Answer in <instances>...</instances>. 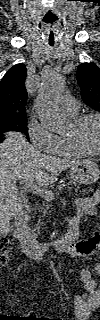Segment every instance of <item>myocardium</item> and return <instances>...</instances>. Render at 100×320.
<instances>
[{
  "label": "myocardium",
  "mask_w": 100,
  "mask_h": 320,
  "mask_svg": "<svg viewBox=\"0 0 100 320\" xmlns=\"http://www.w3.org/2000/svg\"><path fill=\"white\" fill-rule=\"evenodd\" d=\"M94 120L98 123L100 133V117L95 114H86L76 118L73 121V126L76 130L80 129L86 122ZM67 141L77 150L86 155H98L100 154V144L96 150H91L84 146L82 142L76 136H66Z\"/></svg>",
  "instance_id": "1"
}]
</instances>
